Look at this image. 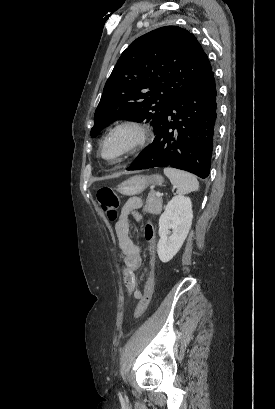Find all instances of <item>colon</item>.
Returning a JSON list of instances; mask_svg holds the SVG:
<instances>
[{
	"label": "colon",
	"instance_id": "5ec220e1",
	"mask_svg": "<svg viewBox=\"0 0 275 409\" xmlns=\"http://www.w3.org/2000/svg\"><path fill=\"white\" fill-rule=\"evenodd\" d=\"M96 199L103 210V212L110 218L115 219L118 215L120 209V199L118 196L109 188H102L97 191ZM144 236L149 242V254H150V268L151 273L149 279L146 283L144 293L134 311V318H140L145 310L147 309L153 291V269L155 267V244H156V234L154 228L150 222L146 223L144 226Z\"/></svg>",
	"mask_w": 275,
	"mask_h": 409
}]
</instances>
